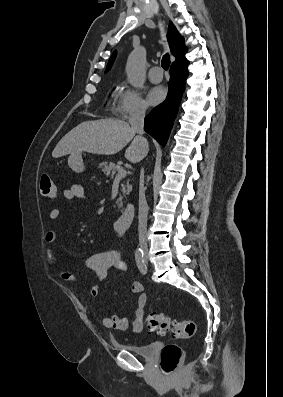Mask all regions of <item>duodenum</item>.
Returning a JSON list of instances; mask_svg holds the SVG:
<instances>
[{
	"instance_id": "duodenum-1",
	"label": "duodenum",
	"mask_w": 283,
	"mask_h": 397,
	"mask_svg": "<svg viewBox=\"0 0 283 397\" xmlns=\"http://www.w3.org/2000/svg\"><path fill=\"white\" fill-rule=\"evenodd\" d=\"M133 215L134 208L132 205H128L114 223V229L118 234L122 235L128 231L133 219Z\"/></svg>"
}]
</instances>
